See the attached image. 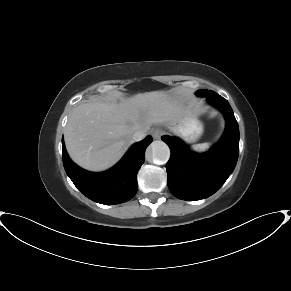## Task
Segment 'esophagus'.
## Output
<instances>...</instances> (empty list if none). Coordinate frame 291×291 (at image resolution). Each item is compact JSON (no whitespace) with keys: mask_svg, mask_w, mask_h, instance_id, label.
Returning a JSON list of instances; mask_svg holds the SVG:
<instances>
[{"mask_svg":"<svg viewBox=\"0 0 291 291\" xmlns=\"http://www.w3.org/2000/svg\"><path fill=\"white\" fill-rule=\"evenodd\" d=\"M164 131L161 128H156L152 132V137L154 139H159L163 135Z\"/></svg>","mask_w":291,"mask_h":291,"instance_id":"obj_1","label":"esophagus"}]
</instances>
